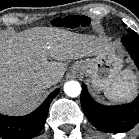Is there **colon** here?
Here are the masks:
<instances>
[{"label": "colon", "mask_w": 139, "mask_h": 139, "mask_svg": "<svg viewBox=\"0 0 139 139\" xmlns=\"http://www.w3.org/2000/svg\"><path fill=\"white\" fill-rule=\"evenodd\" d=\"M52 23L56 26L75 28L86 25L87 18L84 16H73V15L66 17H57L52 20Z\"/></svg>", "instance_id": "colon-1"}]
</instances>
